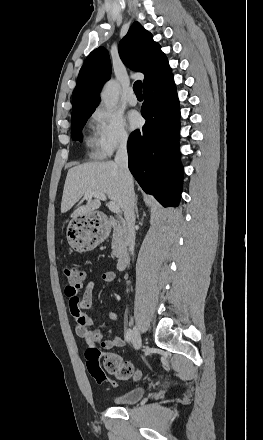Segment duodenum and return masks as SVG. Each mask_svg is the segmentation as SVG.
I'll return each instance as SVG.
<instances>
[{
    "label": "duodenum",
    "mask_w": 263,
    "mask_h": 440,
    "mask_svg": "<svg viewBox=\"0 0 263 440\" xmlns=\"http://www.w3.org/2000/svg\"><path fill=\"white\" fill-rule=\"evenodd\" d=\"M107 223L109 225H114V224H116V221L113 219H108ZM128 261H129L128 249L125 246H121L120 253L118 255L117 262H116L117 269L122 270L127 265Z\"/></svg>",
    "instance_id": "1"
}]
</instances>
